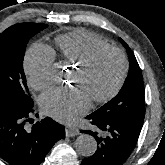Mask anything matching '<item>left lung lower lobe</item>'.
Instances as JSON below:
<instances>
[{
	"label": "left lung lower lobe",
	"instance_id": "1",
	"mask_svg": "<svg viewBox=\"0 0 165 165\" xmlns=\"http://www.w3.org/2000/svg\"><path fill=\"white\" fill-rule=\"evenodd\" d=\"M87 119L93 130L81 132L94 136L98 147L93 156L83 159L81 165H123L133 151L142 127L90 116Z\"/></svg>",
	"mask_w": 165,
	"mask_h": 165
}]
</instances>
